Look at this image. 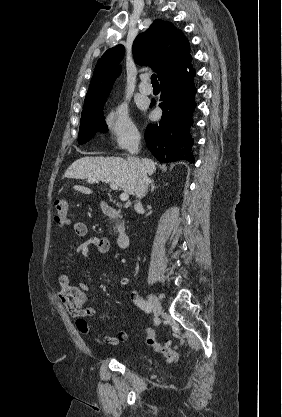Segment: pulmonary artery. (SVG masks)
I'll use <instances>...</instances> for the list:
<instances>
[{
	"label": "pulmonary artery",
	"mask_w": 282,
	"mask_h": 417,
	"mask_svg": "<svg viewBox=\"0 0 282 417\" xmlns=\"http://www.w3.org/2000/svg\"><path fill=\"white\" fill-rule=\"evenodd\" d=\"M149 80L148 76L142 78V82L139 85V91L144 95H149L152 93V87L146 86L145 83Z\"/></svg>",
	"instance_id": "1"
}]
</instances>
